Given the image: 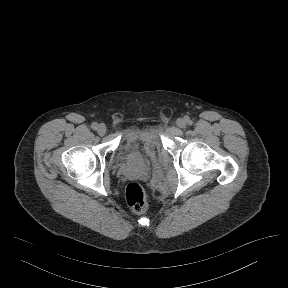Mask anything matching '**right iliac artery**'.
I'll return each instance as SVG.
<instances>
[{"label":"right iliac artery","mask_w":288,"mask_h":288,"mask_svg":"<svg viewBox=\"0 0 288 288\" xmlns=\"http://www.w3.org/2000/svg\"><path fill=\"white\" fill-rule=\"evenodd\" d=\"M92 129L97 130L98 129V123L94 122L91 125Z\"/></svg>","instance_id":"right-iliac-artery-1"}]
</instances>
